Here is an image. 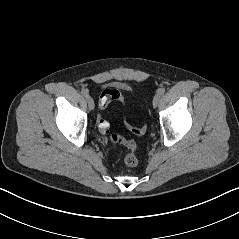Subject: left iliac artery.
<instances>
[{
    "label": "left iliac artery",
    "mask_w": 239,
    "mask_h": 239,
    "mask_svg": "<svg viewBox=\"0 0 239 239\" xmlns=\"http://www.w3.org/2000/svg\"><path fill=\"white\" fill-rule=\"evenodd\" d=\"M157 93H158L159 95H163V94L165 93V88H160V89H158Z\"/></svg>",
    "instance_id": "44dca946"
}]
</instances>
